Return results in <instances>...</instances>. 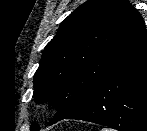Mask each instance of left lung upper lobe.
<instances>
[{
	"mask_svg": "<svg viewBox=\"0 0 147 131\" xmlns=\"http://www.w3.org/2000/svg\"><path fill=\"white\" fill-rule=\"evenodd\" d=\"M147 43L141 15L127 0H89L46 45L34 75L36 101L57 107L54 124L77 111L98 84Z\"/></svg>",
	"mask_w": 147,
	"mask_h": 131,
	"instance_id": "obj_1",
	"label": "left lung upper lobe"
}]
</instances>
